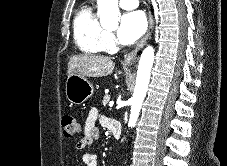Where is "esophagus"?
<instances>
[{
    "mask_svg": "<svg viewBox=\"0 0 227 166\" xmlns=\"http://www.w3.org/2000/svg\"><path fill=\"white\" fill-rule=\"evenodd\" d=\"M148 22H149V24H148V28H147L145 35L142 37L140 42L135 46V48L130 53H128L124 56L125 64H132L134 62L137 52L140 50V48L143 47V45L147 42V40L151 36L152 30H153V19H152L151 14L149 16Z\"/></svg>",
    "mask_w": 227,
    "mask_h": 166,
    "instance_id": "1",
    "label": "esophagus"
}]
</instances>
